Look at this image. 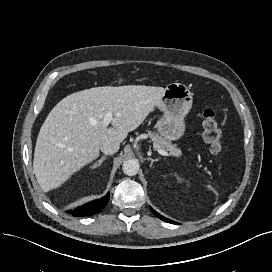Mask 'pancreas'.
<instances>
[{
    "label": "pancreas",
    "instance_id": "obj_1",
    "mask_svg": "<svg viewBox=\"0 0 272 272\" xmlns=\"http://www.w3.org/2000/svg\"><path fill=\"white\" fill-rule=\"evenodd\" d=\"M148 135L153 141V148L155 150L163 149L168 151L170 155L180 156L181 150L176 147L175 144H172L170 141L160 137L157 133L148 131Z\"/></svg>",
    "mask_w": 272,
    "mask_h": 272
}]
</instances>
